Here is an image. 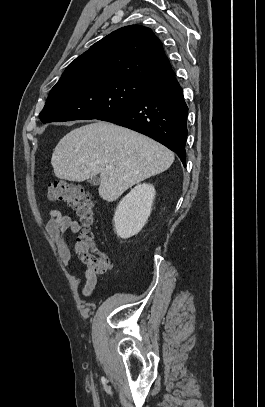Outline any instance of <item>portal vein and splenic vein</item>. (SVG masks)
<instances>
[{
  "label": "portal vein and splenic vein",
  "mask_w": 265,
  "mask_h": 407,
  "mask_svg": "<svg viewBox=\"0 0 265 407\" xmlns=\"http://www.w3.org/2000/svg\"><path fill=\"white\" fill-rule=\"evenodd\" d=\"M106 169H108V170L111 169V166H107Z\"/></svg>",
  "instance_id": "18ae733b"
}]
</instances>
